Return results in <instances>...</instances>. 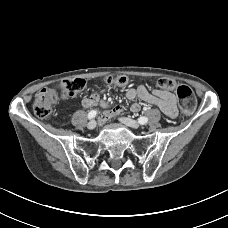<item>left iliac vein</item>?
<instances>
[{"instance_id": "1", "label": "left iliac vein", "mask_w": 228, "mask_h": 228, "mask_svg": "<svg viewBox=\"0 0 228 228\" xmlns=\"http://www.w3.org/2000/svg\"><path fill=\"white\" fill-rule=\"evenodd\" d=\"M120 121H121L123 124H125V125H127V126H129V127H131V128H134V129H137V128L140 127V125H139V123H138L137 121L132 120V119H130V118H120Z\"/></svg>"}]
</instances>
